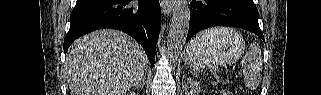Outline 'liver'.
Returning <instances> with one entry per match:
<instances>
[{"label":"liver","mask_w":321,"mask_h":95,"mask_svg":"<svg viewBox=\"0 0 321 95\" xmlns=\"http://www.w3.org/2000/svg\"><path fill=\"white\" fill-rule=\"evenodd\" d=\"M148 59L125 33L98 30L69 48L64 71L72 95H125L145 77Z\"/></svg>","instance_id":"obj_1"}]
</instances>
